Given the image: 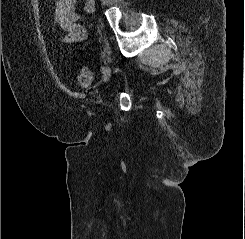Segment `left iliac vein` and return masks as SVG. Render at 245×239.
<instances>
[{"mask_svg": "<svg viewBox=\"0 0 245 239\" xmlns=\"http://www.w3.org/2000/svg\"><path fill=\"white\" fill-rule=\"evenodd\" d=\"M110 75H111V68H110V66H107L104 70V73H103L104 81H107L110 78Z\"/></svg>", "mask_w": 245, "mask_h": 239, "instance_id": "1", "label": "left iliac vein"}]
</instances>
